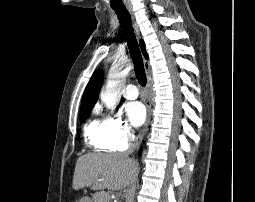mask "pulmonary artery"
Returning a JSON list of instances; mask_svg holds the SVG:
<instances>
[{
  "label": "pulmonary artery",
  "instance_id": "obj_1",
  "mask_svg": "<svg viewBox=\"0 0 255 202\" xmlns=\"http://www.w3.org/2000/svg\"><path fill=\"white\" fill-rule=\"evenodd\" d=\"M123 95L127 99H136L138 97V89L134 84H128L124 90Z\"/></svg>",
  "mask_w": 255,
  "mask_h": 202
}]
</instances>
